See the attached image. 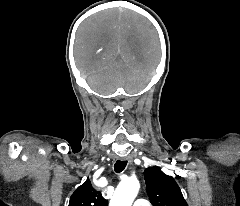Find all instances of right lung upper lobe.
Masks as SVG:
<instances>
[{"label": "right lung upper lobe", "mask_w": 240, "mask_h": 206, "mask_svg": "<svg viewBox=\"0 0 240 206\" xmlns=\"http://www.w3.org/2000/svg\"><path fill=\"white\" fill-rule=\"evenodd\" d=\"M69 206H108V201L87 180L74 191Z\"/></svg>", "instance_id": "cb5924a9"}]
</instances>
